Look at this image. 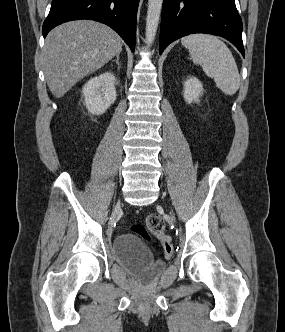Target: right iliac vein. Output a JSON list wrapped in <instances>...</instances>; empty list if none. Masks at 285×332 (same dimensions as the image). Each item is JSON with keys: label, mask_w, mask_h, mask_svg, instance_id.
I'll return each mask as SVG.
<instances>
[{"label": "right iliac vein", "mask_w": 285, "mask_h": 332, "mask_svg": "<svg viewBox=\"0 0 285 332\" xmlns=\"http://www.w3.org/2000/svg\"><path fill=\"white\" fill-rule=\"evenodd\" d=\"M120 203L118 202L116 205V210L119 208Z\"/></svg>", "instance_id": "63e3f726"}]
</instances>
